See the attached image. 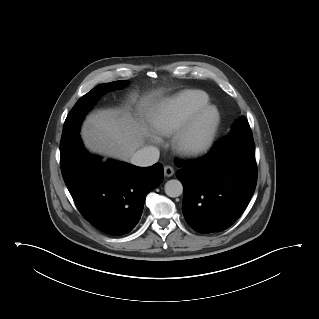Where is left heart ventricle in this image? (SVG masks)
Returning a JSON list of instances; mask_svg holds the SVG:
<instances>
[{
	"instance_id": "b2bd125f",
	"label": "left heart ventricle",
	"mask_w": 319,
	"mask_h": 319,
	"mask_svg": "<svg viewBox=\"0 0 319 319\" xmlns=\"http://www.w3.org/2000/svg\"><path fill=\"white\" fill-rule=\"evenodd\" d=\"M215 121V113L213 111H208L201 119L198 128H197V135H203L212 123Z\"/></svg>"
}]
</instances>
